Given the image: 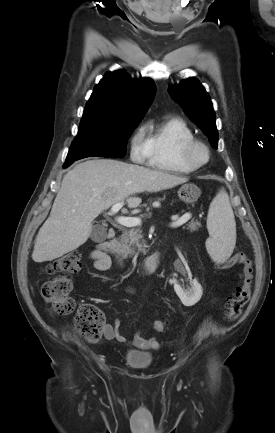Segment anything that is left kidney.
I'll return each mask as SVG.
<instances>
[{"label": "left kidney", "instance_id": "5707ae66", "mask_svg": "<svg viewBox=\"0 0 275 433\" xmlns=\"http://www.w3.org/2000/svg\"><path fill=\"white\" fill-rule=\"evenodd\" d=\"M173 283L176 294L185 306H193L201 299L203 290L196 279L191 281L192 287L189 290H184L176 281Z\"/></svg>", "mask_w": 275, "mask_h": 433}]
</instances>
